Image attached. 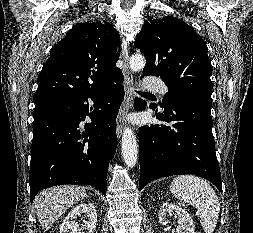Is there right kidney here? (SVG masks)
Listing matches in <instances>:
<instances>
[{
	"mask_svg": "<svg viewBox=\"0 0 253 233\" xmlns=\"http://www.w3.org/2000/svg\"><path fill=\"white\" fill-rule=\"evenodd\" d=\"M87 217L88 220L84 221L82 226H79L76 222L78 217ZM97 213L94 204L81 203L73 208L60 227V233H93V229L96 227Z\"/></svg>",
	"mask_w": 253,
	"mask_h": 233,
	"instance_id": "right-kidney-1",
	"label": "right kidney"
}]
</instances>
